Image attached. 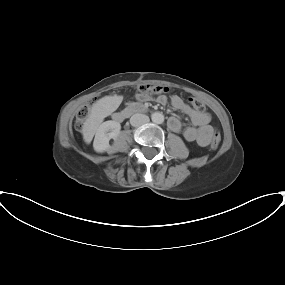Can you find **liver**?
<instances>
[{
	"instance_id": "1",
	"label": "liver",
	"mask_w": 285,
	"mask_h": 285,
	"mask_svg": "<svg viewBox=\"0 0 285 285\" xmlns=\"http://www.w3.org/2000/svg\"><path fill=\"white\" fill-rule=\"evenodd\" d=\"M116 99L117 97L106 96L93 104L90 114L84 122L82 129L83 139L87 144L92 141L100 123L104 117L109 114L111 111V105L116 101Z\"/></svg>"
}]
</instances>
